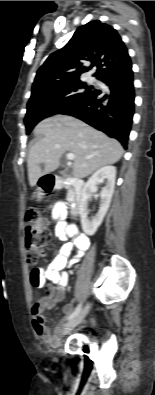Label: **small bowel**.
I'll use <instances>...</instances> for the list:
<instances>
[{
    "instance_id": "small-bowel-1",
    "label": "small bowel",
    "mask_w": 155,
    "mask_h": 395,
    "mask_svg": "<svg viewBox=\"0 0 155 395\" xmlns=\"http://www.w3.org/2000/svg\"><path fill=\"white\" fill-rule=\"evenodd\" d=\"M66 214L67 208L63 202H57L51 211L52 219L56 222L55 231L57 237L68 242L62 246L59 254L45 269L43 267L29 268V281L32 292H47L45 282L58 286L57 294L42 298L31 308L32 325L36 335L53 347L58 346L60 343L64 320L71 312L72 306H65V317L56 326L54 333L46 325L42 312L45 309H51L56 302L63 299L64 289L69 282V274L64 269L77 264L90 244L89 238L85 234L80 233L74 225L65 221Z\"/></svg>"
}]
</instances>
